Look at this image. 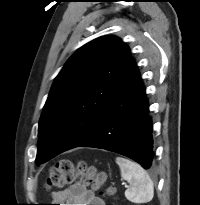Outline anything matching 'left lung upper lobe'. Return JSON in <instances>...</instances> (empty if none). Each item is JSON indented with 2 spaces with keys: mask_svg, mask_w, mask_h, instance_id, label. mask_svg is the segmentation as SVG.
<instances>
[{
  "mask_svg": "<svg viewBox=\"0 0 200 205\" xmlns=\"http://www.w3.org/2000/svg\"><path fill=\"white\" fill-rule=\"evenodd\" d=\"M132 61L114 36L81 47L56 77L40 117L37 166L78 146L113 100Z\"/></svg>",
  "mask_w": 200,
  "mask_h": 205,
  "instance_id": "1",
  "label": "left lung upper lobe"
}]
</instances>
